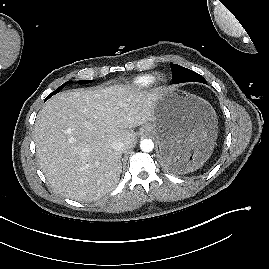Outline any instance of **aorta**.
Listing matches in <instances>:
<instances>
[{"mask_svg":"<svg viewBox=\"0 0 269 269\" xmlns=\"http://www.w3.org/2000/svg\"><path fill=\"white\" fill-rule=\"evenodd\" d=\"M140 148L144 152H150L154 148V143L151 139H143L140 142Z\"/></svg>","mask_w":269,"mask_h":269,"instance_id":"obj_1","label":"aorta"}]
</instances>
